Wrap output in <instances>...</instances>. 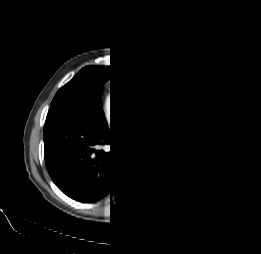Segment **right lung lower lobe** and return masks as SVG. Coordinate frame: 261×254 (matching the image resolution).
<instances>
[{
  "instance_id": "obj_1",
  "label": "right lung lower lobe",
  "mask_w": 261,
  "mask_h": 254,
  "mask_svg": "<svg viewBox=\"0 0 261 254\" xmlns=\"http://www.w3.org/2000/svg\"><path fill=\"white\" fill-rule=\"evenodd\" d=\"M112 132L99 130L72 114H48L44 155L53 182L69 197L94 202L106 196L118 180L124 159L118 151H95L113 145Z\"/></svg>"
}]
</instances>
